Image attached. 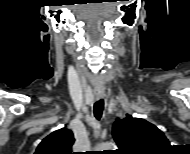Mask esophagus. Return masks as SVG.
<instances>
[{"label":"esophagus","mask_w":190,"mask_h":154,"mask_svg":"<svg viewBox=\"0 0 190 154\" xmlns=\"http://www.w3.org/2000/svg\"><path fill=\"white\" fill-rule=\"evenodd\" d=\"M95 96L97 99L103 98L105 96V91L104 90H97V91H95Z\"/></svg>","instance_id":"34e87169"}]
</instances>
